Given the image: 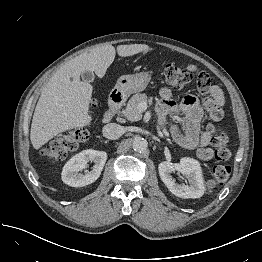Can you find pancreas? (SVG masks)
I'll list each match as a JSON object with an SVG mask.
<instances>
[{
	"instance_id": "obj_1",
	"label": "pancreas",
	"mask_w": 262,
	"mask_h": 262,
	"mask_svg": "<svg viewBox=\"0 0 262 262\" xmlns=\"http://www.w3.org/2000/svg\"><path fill=\"white\" fill-rule=\"evenodd\" d=\"M148 96L146 94H135L127 103L126 109L122 110V115L130 121H138L142 118L141 111L138 107L140 103H146ZM161 121L166 123V118L161 117Z\"/></svg>"
}]
</instances>
